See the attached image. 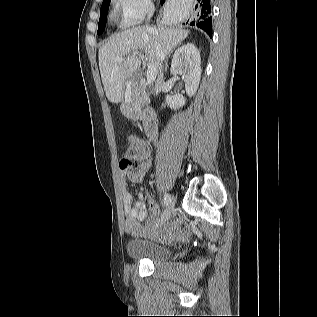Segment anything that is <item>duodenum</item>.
<instances>
[{
  "label": "duodenum",
  "mask_w": 317,
  "mask_h": 317,
  "mask_svg": "<svg viewBox=\"0 0 317 317\" xmlns=\"http://www.w3.org/2000/svg\"><path fill=\"white\" fill-rule=\"evenodd\" d=\"M120 105L124 115H133L135 113V110L132 106V100H121ZM137 113L139 115H142L144 113V110L142 108H139L137 110ZM143 120L145 124L146 137L149 140L155 139L159 130L158 118L156 114L152 110H147L143 115Z\"/></svg>",
  "instance_id": "410a0bca"
}]
</instances>
